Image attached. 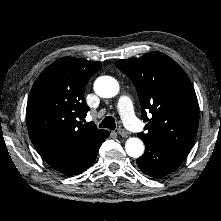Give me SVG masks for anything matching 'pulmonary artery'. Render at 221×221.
Masks as SVG:
<instances>
[{"label": "pulmonary artery", "instance_id": "1", "mask_svg": "<svg viewBox=\"0 0 221 221\" xmlns=\"http://www.w3.org/2000/svg\"><path fill=\"white\" fill-rule=\"evenodd\" d=\"M117 109L124 124L132 131H140L142 126L134 113L133 104L130 97L122 95L117 103Z\"/></svg>", "mask_w": 221, "mask_h": 221}]
</instances>
